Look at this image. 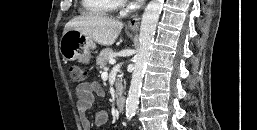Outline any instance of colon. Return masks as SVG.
<instances>
[{
	"mask_svg": "<svg viewBox=\"0 0 257 130\" xmlns=\"http://www.w3.org/2000/svg\"><path fill=\"white\" fill-rule=\"evenodd\" d=\"M70 77L75 82H82L85 78V71L79 66H72L69 69Z\"/></svg>",
	"mask_w": 257,
	"mask_h": 130,
	"instance_id": "obj_1",
	"label": "colon"
}]
</instances>
